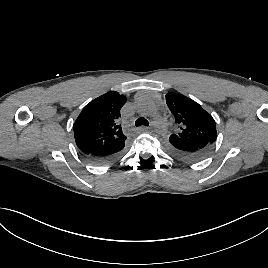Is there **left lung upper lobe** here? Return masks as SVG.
<instances>
[{"label": "left lung upper lobe", "mask_w": 268, "mask_h": 268, "mask_svg": "<svg viewBox=\"0 0 268 268\" xmlns=\"http://www.w3.org/2000/svg\"><path fill=\"white\" fill-rule=\"evenodd\" d=\"M166 103L178 125V132L170 138L202 139L214 144L217 138L216 123L198 103L175 93L166 94Z\"/></svg>", "instance_id": "1"}]
</instances>
